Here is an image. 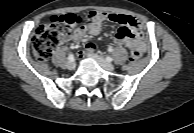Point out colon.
<instances>
[{"label":"colon","mask_w":194,"mask_h":133,"mask_svg":"<svg viewBox=\"0 0 194 133\" xmlns=\"http://www.w3.org/2000/svg\"><path fill=\"white\" fill-rule=\"evenodd\" d=\"M82 25V18L75 14H65L61 16H53L49 23L40 25L33 37V54L40 61H46L52 50L61 42L66 32L75 31ZM89 52H95L98 44L95 41H89L86 44ZM138 48L131 50V61H136L141 56Z\"/></svg>","instance_id":"5ec220e1"}]
</instances>
